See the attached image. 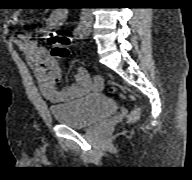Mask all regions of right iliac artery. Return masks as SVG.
Masks as SVG:
<instances>
[{
    "label": "right iliac artery",
    "instance_id": "82829eb1",
    "mask_svg": "<svg viewBox=\"0 0 192 180\" xmlns=\"http://www.w3.org/2000/svg\"><path fill=\"white\" fill-rule=\"evenodd\" d=\"M74 36L76 39H83L84 37V29L82 25H78L74 30Z\"/></svg>",
    "mask_w": 192,
    "mask_h": 180
}]
</instances>
